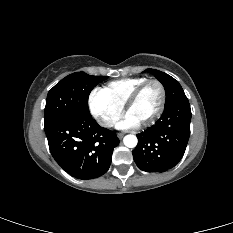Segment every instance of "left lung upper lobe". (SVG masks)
<instances>
[{
  "label": "left lung upper lobe",
  "instance_id": "1",
  "mask_svg": "<svg viewBox=\"0 0 233 233\" xmlns=\"http://www.w3.org/2000/svg\"><path fill=\"white\" fill-rule=\"evenodd\" d=\"M145 72L153 74L164 86L166 91V106L178 98L186 96L179 82L170 75L155 69H146Z\"/></svg>",
  "mask_w": 233,
  "mask_h": 233
}]
</instances>
